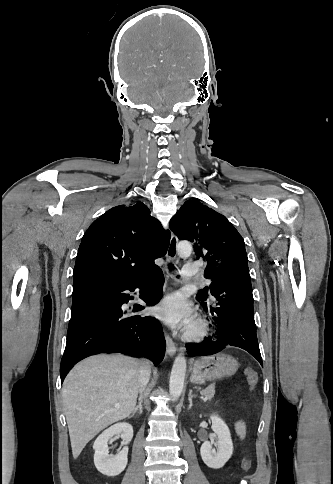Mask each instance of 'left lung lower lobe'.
<instances>
[{
  "instance_id": "0a47b994",
  "label": "left lung lower lobe",
  "mask_w": 333,
  "mask_h": 484,
  "mask_svg": "<svg viewBox=\"0 0 333 484\" xmlns=\"http://www.w3.org/2000/svg\"><path fill=\"white\" fill-rule=\"evenodd\" d=\"M212 283L216 284L213 297L215 306L204 304V310L216 324V335L199 344H188L189 356L218 353L227 346L248 351L262 365L253 312V296L248 263L229 259L213 271Z\"/></svg>"
}]
</instances>
